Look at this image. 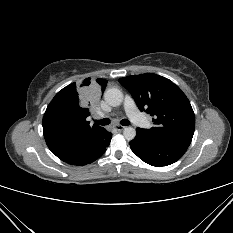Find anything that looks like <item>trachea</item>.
Listing matches in <instances>:
<instances>
[{
  "instance_id": "trachea-1",
  "label": "trachea",
  "mask_w": 233,
  "mask_h": 233,
  "mask_svg": "<svg viewBox=\"0 0 233 233\" xmlns=\"http://www.w3.org/2000/svg\"><path fill=\"white\" fill-rule=\"evenodd\" d=\"M95 123L99 124V125H102V126H105V125H108L110 124V120L108 118H104V119H101V120H95ZM121 125L123 126H128L130 125V121L127 120V119H123L121 120Z\"/></svg>"
}]
</instances>
